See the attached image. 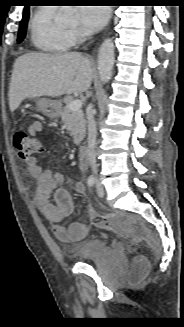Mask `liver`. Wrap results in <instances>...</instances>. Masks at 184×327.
<instances>
[{
  "mask_svg": "<svg viewBox=\"0 0 184 327\" xmlns=\"http://www.w3.org/2000/svg\"><path fill=\"white\" fill-rule=\"evenodd\" d=\"M93 63L79 52L27 53L14 63L9 87V107L14 112L25 98L59 97L88 91Z\"/></svg>",
  "mask_w": 184,
  "mask_h": 327,
  "instance_id": "liver-1",
  "label": "liver"
}]
</instances>
